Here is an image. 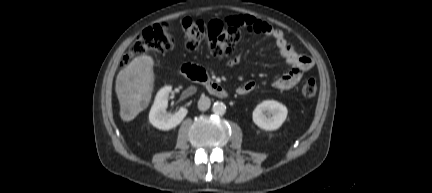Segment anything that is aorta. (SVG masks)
<instances>
[{
  "label": "aorta",
  "instance_id": "762f6f07",
  "mask_svg": "<svg viewBox=\"0 0 432 193\" xmlns=\"http://www.w3.org/2000/svg\"><path fill=\"white\" fill-rule=\"evenodd\" d=\"M212 111L217 115H224L226 112V105L223 102H215Z\"/></svg>",
  "mask_w": 432,
  "mask_h": 193
}]
</instances>
